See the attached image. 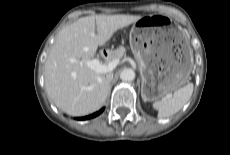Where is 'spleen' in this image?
<instances>
[{
	"label": "spleen",
	"instance_id": "3e777b00",
	"mask_svg": "<svg viewBox=\"0 0 230 155\" xmlns=\"http://www.w3.org/2000/svg\"><path fill=\"white\" fill-rule=\"evenodd\" d=\"M193 84L188 83L176 90L173 94L153 103V108L158 111V117L166 118L174 115L189 101L193 93Z\"/></svg>",
	"mask_w": 230,
	"mask_h": 155
}]
</instances>
